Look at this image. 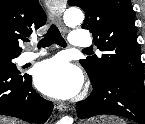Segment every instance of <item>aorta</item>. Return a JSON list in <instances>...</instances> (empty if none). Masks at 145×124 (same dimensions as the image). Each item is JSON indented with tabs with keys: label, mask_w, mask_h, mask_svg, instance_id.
Returning <instances> with one entry per match:
<instances>
[{
	"label": "aorta",
	"mask_w": 145,
	"mask_h": 124,
	"mask_svg": "<svg viewBox=\"0 0 145 124\" xmlns=\"http://www.w3.org/2000/svg\"><path fill=\"white\" fill-rule=\"evenodd\" d=\"M63 19L67 26L75 27L83 22L84 14L79 9L70 8L65 11ZM58 124H73V118L66 116Z\"/></svg>",
	"instance_id": "762f6f07"
}]
</instances>
